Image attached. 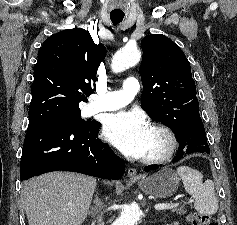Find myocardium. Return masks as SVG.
Returning a JSON list of instances; mask_svg holds the SVG:
<instances>
[{
  "mask_svg": "<svg viewBox=\"0 0 237 225\" xmlns=\"http://www.w3.org/2000/svg\"><path fill=\"white\" fill-rule=\"evenodd\" d=\"M152 133L159 136L163 142V147L161 150L145 155L143 157V162L147 164H161L168 161L175 153L178 142L174 132L161 124H152L149 129Z\"/></svg>",
  "mask_w": 237,
  "mask_h": 225,
  "instance_id": "1",
  "label": "myocardium"
}]
</instances>
